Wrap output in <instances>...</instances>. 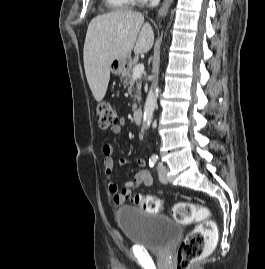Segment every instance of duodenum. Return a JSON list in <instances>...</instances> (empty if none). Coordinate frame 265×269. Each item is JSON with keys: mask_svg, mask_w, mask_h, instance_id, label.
<instances>
[{"mask_svg": "<svg viewBox=\"0 0 265 269\" xmlns=\"http://www.w3.org/2000/svg\"><path fill=\"white\" fill-rule=\"evenodd\" d=\"M144 111L141 108H137L133 112V119L136 123H141L143 121Z\"/></svg>", "mask_w": 265, "mask_h": 269, "instance_id": "410a0bca", "label": "duodenum"}]
</instances>
